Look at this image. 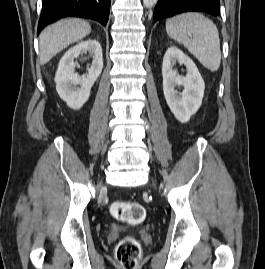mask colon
<instances>
[{"instance_id": "5ec220e1", "label": "colon", "mask_w": 265, "mask_h": 269, "mask_svg": "<svg viewBox=\"0 0 265 269\" xmlns=\"http://www.w3.org/2000/svg\"><path fill=\"white\" fill-rule=\"evenodd\" d=\"M113 217L130 224L143 221L145 209L138 202L114 201L110 206ZM141 256L139 242L130 236L122 238L116 246V257L123 269H135Z\"/></svg>"}]
</instances>
